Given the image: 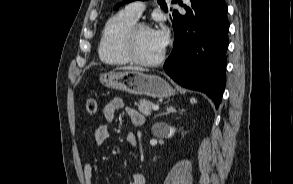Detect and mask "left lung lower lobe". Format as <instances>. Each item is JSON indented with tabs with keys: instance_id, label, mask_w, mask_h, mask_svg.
Returning a JSON list of instances; mask_svg holds the SVG:
<instances>
[{
	"instance_id": "0a47b994",
	"label": "left lung lower lobe",
	"mask_w": 293,
	"mask_h": 184,
	"mask_svg": "<svg viewBox=\"0 0 293 184\" xmlns=\"http://www.w3.org/2000/svg\"><path fill=\"white\" fill-rule=\"evenodd\" d=\"M185 15L173 12V50L165 72L181 86L206 93L218 108L225 87L228 48L224 0H190Z\"/></svg>"
}]
</instances>
